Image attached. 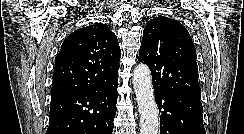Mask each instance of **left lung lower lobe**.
<instances>
[{"label":"left lung lower lobe","mask_w":244,"mask_h":134,"mask_svg":"<svg viewBox=\"0 0 244 134\" xmlns=\"http://www.w3.org/2000/svg\"><path fill=\"white\" fill-rule=\"evenodd\" d=\"M160 134H206L200 97L154 90Z\"/></svg>","instance_id":"obj_1"}]
</instances>
